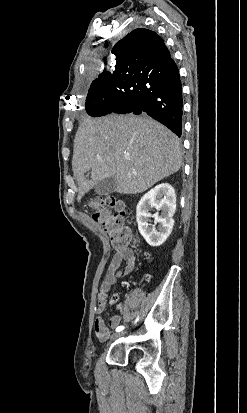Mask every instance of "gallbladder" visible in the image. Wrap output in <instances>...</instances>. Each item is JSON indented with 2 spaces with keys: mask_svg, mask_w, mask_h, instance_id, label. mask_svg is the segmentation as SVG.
I'll return each instance as SVG.
<instances>
[{
  "mask_svg": "<svg viewBox=\"0 0 247 413\" xmlns=\"http://www.w3.org/2000/svg\"><path fill=\"white\" fill-rule=\"evenodd\" d=\"M116 188L117 180L115 176H107V178H103V180H99L95 184V192L97 194H110V192H115Z\"/></svg>",
  "mask_w": 247,
  "mask_h": 413,
  "instance_id": "gallbladder-1",
  "label": "gallbladder"
}]
</instances>
